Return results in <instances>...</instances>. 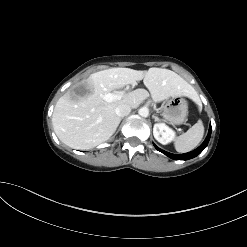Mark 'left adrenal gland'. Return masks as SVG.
<instances>
[{"label":"left adrenal gland","instance_id":"1","mask_svg":"<svg viewBox=\"0 0 247 247\" xmlns=\"http://www.w3.org/2000/svg\"><path fill=\"white\" fill-rule=\"evenodd\" d=\"M152 117L155 119V121H161V119H160V118H158V117H157V116H155V115H153Z\"/></svg>","mask_w":247,"mask_h":247}]
</instances>
